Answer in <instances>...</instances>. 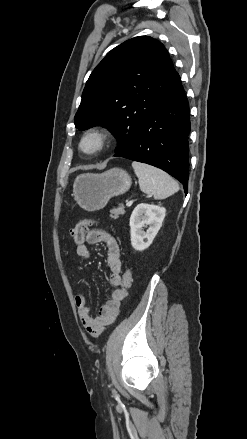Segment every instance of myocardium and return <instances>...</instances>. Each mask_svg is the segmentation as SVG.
Masks as SVG:
<instances>
[{
	"mask_svg": "<svg viewBox=\"0 0 247 439\" xmlns=\"http://www.w3.org/2000/svg\"><path fill=\"white\" fill-rule=\"evenodd\" d=\"M89 138H95L97 144L93 149H86L84 143ZM111 140V133L109 129L103 125H94L86 129L80 137L78 147L79 150L85 155H94L101 152L107 147Z\"/></svg>",
	"mask_w": 247,
	"mask_h": 439,
	"instance_id": "myocardium-1",
	"label": "myocardium"
}]
</instances>
